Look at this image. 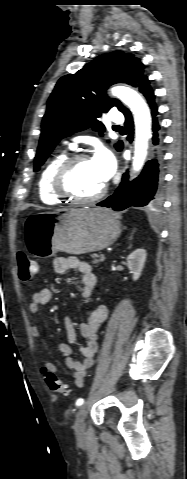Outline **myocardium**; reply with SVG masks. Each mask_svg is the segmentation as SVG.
I'll return each mask as SVG.
<instances>
[{"mask_svg": "<svg viewBox=\"0 0 187 479\" xmlns=\"http://www.w3.org/2000/svg\"><path fill=\"white\" fill-rule=\"evenodd\" d=\"M91 159L86 153H74L67 156L58 166L53 177L54 193L72 203L89 204L100 200L107 192V183L94 195L89 197H81L74 193L69 187V177L77 163L83 160Z\"/></svg>", "mask_w": 187, "mask_h": 479, "instance_id": "myocardium-1", "label": "myocardium"}]
</instances>
